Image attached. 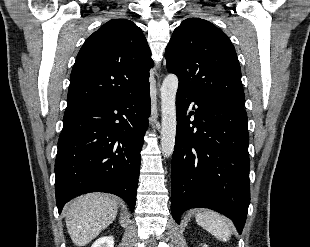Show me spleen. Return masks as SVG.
<instances>
[{
    "label": "spleen",
    "mask_w": 310,
    "mask_h": 247,
    "mask_svg": "<svg viewBox=\"0 0 310 247\" xmlns=\"http://www.w3.org/2000/svg\"><path fill=\"white\" fill-rule=\"evenodd\" d=\"M196 222L223 242H226L231 236L228 220L214 211L206 210L198 212L196 214Z\"/></svg>",
    "instance_id": "spleen-1"
}]
</instances>
